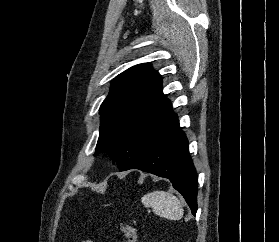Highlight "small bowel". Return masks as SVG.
Returning a JSON list of instances; mask_svg holds the SVG:
<instances>
[{
  "instance_id": "1",
  "label": "small bowel",
  "mask_w": 279,
  "mask_h": 242,
  "mask_svg": "<svg viewBox=\"0 0 279 242\" xmlns=\"http://www.w3.org/2000/svg\"><path fill=\"white\" fill-rule=\"evenodd\" d=\"M82 242H94V241H92V240H84Z\"/></svg>"
}]
</instances>
